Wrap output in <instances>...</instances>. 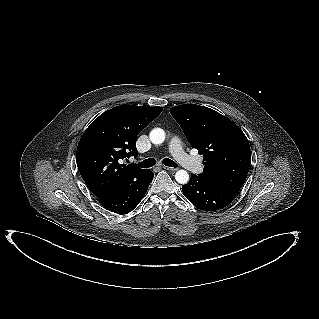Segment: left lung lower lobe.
<instances>
[{
    "label": "left lung lower lobe",
    "mask_w": 319,
    "mask_h": 319,
    "mask_svg": "<svg viewBox=\"0 0 319 319\" xmlns=\"http://www.w3.org/2000/svg\"><path fill=\"white\" fill-rule=\"evenodd\" d=\"M185 197L198 209L215 211L229 205L236 193L191 174L190 181L182 186Z\"/></svg>",
    "instance_id": "0a47b994"
}]
</instances>
